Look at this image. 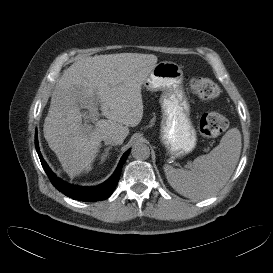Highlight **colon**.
Segmentation results:
<instances>
[{"instance_id": "1", "label": "colon", "mask_w": 273, "mask_h": 273, "mask_svg": "<svg viewBox=\"0 0 273 273\" xmlns=\"http://www.w3.org/2000/svg\"><path fill=\"white\" fill-rule=\"evenodd\" d=\"M191 90L202 100L215 98L219 89L218 86L209 78L194 77L190 80ZM228 126L225 115L218 111L205 113L200 120V132L206 138H214L222 134Z\"/></svg>"}]
</instances>
